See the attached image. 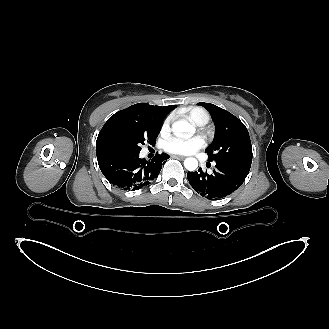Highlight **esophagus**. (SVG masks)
I'll return each instance as SVG.
<instances>
[{
	"label": "esophagus",
	"mask_w": 329,
	"mask_h": 329,
	"mask_svg": "<svg viewBox=\"0 0 329 329\" xmlns=\"http://www.w3.org/2000/svg\"><path fill=\"white\" fill-rule=\"evenodd\" d=\"M172 157L173 158H179V159H184L185 158L184 156H180V155H173Z\"/></svg>",
	"instance_id": "34e87169"
}]
</instances>
